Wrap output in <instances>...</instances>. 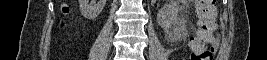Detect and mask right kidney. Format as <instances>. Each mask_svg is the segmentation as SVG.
<instances>
[{
	"mask_svg": "<svg viewBox=\"0 0 267 60\" xmlns=\"http://www.w3.org/2000/svg\"><path fill=\"white\" fill-rule=\"evenodd\" d=\"M105 4L106 0H98L97 3L96 0H79L81 14L89 20L95 19L101 13Z\"/></svg>",
	"mask_w": 267,
	"mask_h": 60,
	"instance_id": "1",
	"label": "right kidney"
}]
</instances>
